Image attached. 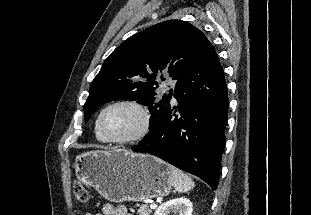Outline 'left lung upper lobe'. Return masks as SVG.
Here are the masks:
<instances>
[{
    "instance_id": "obj_1",
    "label": "left lung upper lobe",
    "mask_w": 311,
    "mask_h": 215,
    "mask_svg": "<svg viewBox=\"0 0 311 215\" xmlns=\"http://www.w3.org/2000/svg\"><path fill=\"white\" fill-rule=\"evenodd\" d=\"M205 35L188 22L168 20L139 32L117 47L105 60L90 86L84 105V119L101 105L131 100L148 106L149 127L169 102L173 90L159 97L162 72L178 80L199 53Z\"/></svg>"
}]
</instances>
